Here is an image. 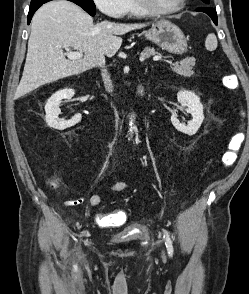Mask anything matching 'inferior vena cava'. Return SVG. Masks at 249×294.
Listing matches in <instances>:
<instances>
[{"instance_id": "1", "label": "inferior vena cava", "mask_w": 249, "mask_h": 294, "mask_svg": "<svg viewBox=\"0 0 249 294\" xmlns=\"http://www.w3.org/2000/svg\"><path fill=\"white\" fill-rule=\"evenodd\" d=\"M101 67H102V69H101L102 78H103V81H104L105 88H106V90L108 92H112L113 91V85H112V81L110 79V75H109L108 71L105 69V61H103Z\"/></svg>"}]
</instances>
